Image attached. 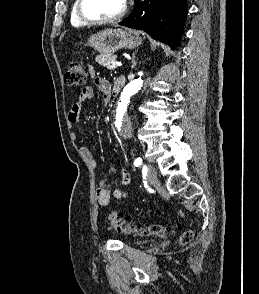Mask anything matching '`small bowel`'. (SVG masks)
I'll use <instances>...</instances> for the list:
<instances>
[{
    "mask_svg": "<svg viewBox=\"0 0 259 294\" xmlns=\"http://www.w3.org/2000/svg\"><path fill=\"white\" fill-rule=\"evenodd\" d=\"M90 74L92 77H94L95 84L103 95L104 103H108L112 94H114V87L112 88L110 82L105 78L95 77V72L92 68L90 69ZM93 97L94 89L91 86H86L81 90L77 101L73 104V106L68 112V121L71 124L76 123L78 121L83 104L93 99ZM75 136L76 135L73 134V137ZM80 152L89 160L90 164L94 168L97 167L96 158L92 150L88 146H81ZM110 181H116L120 184H127L130 181V175L126 170H122L117 175H114L112 177L107 176L100 179L97 186L96 198L97 202L101 206H107L112 198L120 200L127 197V192L121 189L117 188L111 190L108 185Z\"/></svg>",
    "mask_w": 259,
    "mask_h": 294,
    "instance_id": "small-bowel-1",
    "label": "small bowel"
}]
</instances>
